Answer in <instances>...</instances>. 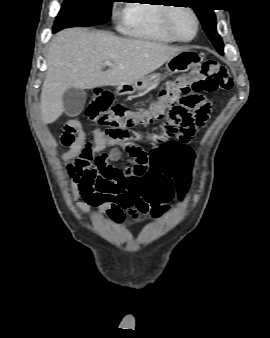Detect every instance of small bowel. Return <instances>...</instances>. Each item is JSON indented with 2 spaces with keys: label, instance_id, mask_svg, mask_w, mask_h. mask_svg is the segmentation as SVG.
Here are the masks:
<instances>
[{
  "label": "small bowel",
  "instance_id": "1",
  "mask_svg": "<svg viewBox=\"0 0 270 338\" xmlns=\"http://www.w3.org/2000/svg\"><path fill=\"white\" fill-rule=\"evenodd\" d=\"M167 123L175 125L177 122L168 119ZM197 129L195 127L192 130L189 141ZM91 132L93 142L87 143L86 131L82 124L78 120H70L64 124L60 136L65 149L63 159L76 166L82 163V172L72 191L85 202L76 206L83 214L87 213L89 207L96 208L99 217L107 214L113 220L117 212L122 214L109 195L101 189V185L107 172L115 168L112 162L119 160L124 152L142 157L144 165L150 168L154 181L150 183L148 192L158 214L169 209L176 190L187 188L188 174L195 158L188 142L182 145L177 153L161 157L156 151L147 154L141 152L137 146L130 145L124 136L110 137L98 127H93ZM174 141L175 139H172L167 144Z\"/></svg>",
  "mask_w": 270,
  "mask_h": 338
}]
</instances>
